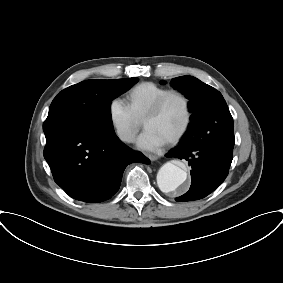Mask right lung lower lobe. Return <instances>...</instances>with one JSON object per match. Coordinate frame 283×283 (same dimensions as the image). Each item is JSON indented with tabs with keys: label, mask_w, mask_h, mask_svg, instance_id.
Listing matches in <instances>:
<instances>
[{
	"label": "right lung lower lobe",
	"mask_w": 283,
	"mask_h": 283,
	"mask_svg": "<svg viewBox=\"0 0 283 283\" xmlns=\"http://www.w3.org/2000/svg\"><path fill=\"white\" fill-rule=\"evenodd\" d=\"M44 158L55 182L72 198L87 203L116 194L128 164L150 163L122 143L114 131H61L46 139Z\"/></svg>",
	"instance_id": "obj_1"
}]
</instances>
